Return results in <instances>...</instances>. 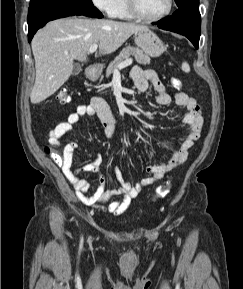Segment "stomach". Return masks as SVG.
Here are the masks:
<instances>
[{
    "mask_svg": "<svg viewBox=\"0 0 243 289\" xmlns=\"http://www.w3.org/2000/svg\"><path fill=\"white\" fill-rule=\"evenodd\" d=\"M136 45L151 57H158L165 51V45L162 40L149 28L139 30L134 35ZM98 77L97 72L89 74V78L95 80Z\"/></svg>",
    "mask_w": 243,
    "mask_h": 289,
    "instance_id": "obj_1",
    "label": "stomach"
}]
</instances>
